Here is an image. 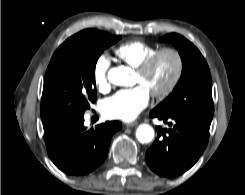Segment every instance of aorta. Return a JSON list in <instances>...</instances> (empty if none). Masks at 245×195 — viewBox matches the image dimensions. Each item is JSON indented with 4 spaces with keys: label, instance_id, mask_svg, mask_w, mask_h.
I'll return each instance as SVG.
<instances>
[{
    "label": "aorta",
    "instance_id": "aorta-1",
    "mask_svg": "<svg viewBox=\"0 0 245 195\" xmlns=\"http://www.w3.org/2000/svg\"><path fill=\"white\" fill-rule=\"evenodd\" d=\"M108 80L117 86H128L130 81L129 71L125 67H114L108 72ZM136 138L140 143H149L154 138V129L148 124H141L136 130Z\"/></svg>",
    "mask_w": 245,
    "mask_h": 195
}]
</instances>
